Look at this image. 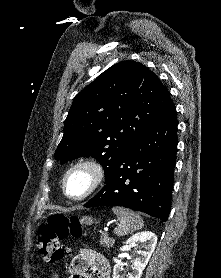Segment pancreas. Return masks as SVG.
Masks as SVG:
<instances>
[{"instance_id": "obj_1", "label": "pancreas", "mask_w": 221, "mask_h": 278, "mask_svg": "<svg viewBox=\"0 0 221 278\" xmlns=\"http://www.w3.org/2000/svg\"><path fill=\"white\" fill-rule=\"evenodd\" d=\"M115 240L113 238H109L107 234H103L100 239V244L106 248L113 246Z\"/></svg>"}]
</instances>
